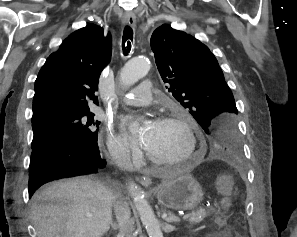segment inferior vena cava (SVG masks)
<instances>
[{"label": "inferior vena cava", "mask_w": 297, "mask_h": 237, "mask_svg": "<svg viewBox=\"0 0 297 237\" xmlns=\"http://www.w3.org/2000/svg\"><path fill=\"white\" fill-rule=\"evenodd\" d=\"M114 211L118 221L121 237H135L134 221L131 219L129 205L117 196L114 198Z\"/></svg>", "instance_id": "inferior-vena-cava-1"}]
</instances>
